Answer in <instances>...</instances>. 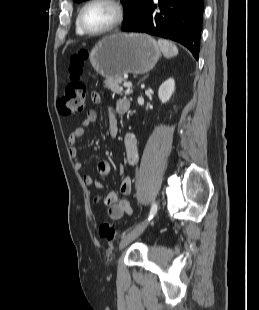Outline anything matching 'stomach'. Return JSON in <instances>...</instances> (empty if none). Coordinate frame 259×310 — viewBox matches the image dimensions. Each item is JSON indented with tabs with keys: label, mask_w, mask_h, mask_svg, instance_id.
I'll list each match as a JSON object with an SVG mask.
<instances>
[{
	"label": "stomach",
	"mask_w": 259,
	"mask_h": 310,
	"mask_svg": "<svg viewBox=\"0 0 259 310\" xmlns=\"http://www.w3.org/2000/svg\"><path fill=\"white\" fill-rule=\"evenodd\" d=\"M161 56L158 43L149 35L115 33L101 39L89 53L93 68L103 77L150 71Z\"/></svg>",
	"instance_id": "0dacf381"
}]
</instances>
